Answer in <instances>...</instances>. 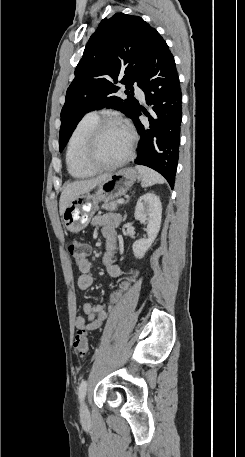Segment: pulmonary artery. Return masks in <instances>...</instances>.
I'll use <instances>...</instances> for the list:
<instances>
[{
  "mask_svg": "<svg viewBox=\"0 0 245 457\" xmlns=\"http://www.w3.org/2000/svg\"><path fill=\"white\" fill-rule=\"evenodd\" d=\"M132 86H133V88H135V89L133 90V93H132V94H133V97L135 98V101H136V102H145L147 97H146V94L144 93V90H143V89H136V88H138V86H139L138 83H136V82L133 83ZM143 107H144V108H147V107H148V104H147V103H144V104H143ZM90 114H91V115H95L96 113H95V112H92V113H90Z\"/></svg>",
  "mask_w": 245,
  "mask_h": 457,
  "instance_id": "pulmonary-artery-1",
  "label": "pulmonary artery"
}]
</instances>
